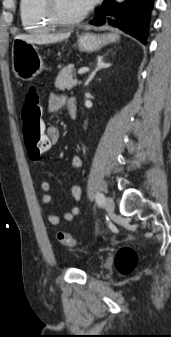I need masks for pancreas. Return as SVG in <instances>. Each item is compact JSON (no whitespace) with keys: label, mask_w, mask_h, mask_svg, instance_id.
<instances>
[{"label":"pancreas","mask_w":171,"mask_h":337,"mask_svg":"<svg viewBox=\"0 0 171 337\" xmlns=\"http://www.w3.org/2000/svg\"><path fill=\"white\" fill-rule=\"evenodd\" d=\"M73 65L64 67L58 74L55 81V87L59 90H71L77 84H80L76 79H73Z\"/></svg>","instance_id":"1"}]
</instances>
